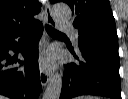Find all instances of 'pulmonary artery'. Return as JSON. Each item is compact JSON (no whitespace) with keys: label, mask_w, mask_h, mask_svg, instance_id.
Masks as SVG:
<instances>
[{"label":"pulmonary artery","mask_w":128,"mask_h":99,"mask_svg":"<svg viewBox=\"0 0 128 99\" xmlns=\"http://www.w3.org/2000/svg\"><path fill=\"white\" fill-rule=\"evenodd\" d=\"M59 28L62 31L71 34L72 37L74 38L75 42L76 43L78 42V32L73 26H71L70 24H67V23H61Z\"/></svg>","instance_id":"pulmonary-artery-1"}]
</instances>
